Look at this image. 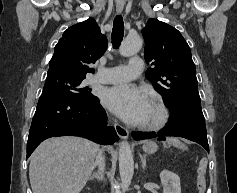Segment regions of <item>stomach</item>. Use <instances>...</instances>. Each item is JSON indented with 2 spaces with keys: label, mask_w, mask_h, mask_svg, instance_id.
I'll list each match as a JSON object with an SVG mask.
<instances>
[{
  "label": "stomach",
  "mask_w": 237,
  "mask_h": 193,
  "mask_svg": "<svg viewBox=\"0 0 237 193\" xmlns=\"http://www.w3.org/2000/svg\"><path fill=\"white\" fill-rule=\"evenodd\" d=\"M158 149V146L155 142L153 141H147L144 143L143 145V150L145 153L147 154H153L154 152H156Z\"/></svg>",
  "instance_id": "0dacf381"
}]
</instances>
